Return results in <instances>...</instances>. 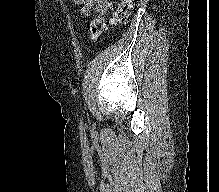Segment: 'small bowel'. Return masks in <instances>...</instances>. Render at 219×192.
I'll use <instances>...</instances> for the list:
<instances>
[{"label": "small bowel", "instance_id": "obj_1", "mask_svg": "<svg viewBox=\"0 0 219 192\" xmlns=\"http://www.w3.org/2000/svg\"><path fill=\"white\" fill-rule=\"evenodd\" d=\"M81 6V13L85 16L97 12L101 16H105L113 3L110 0H73Z\"/></svg>", "mask_w": 219, "mask_h": 192}]
</instances>
